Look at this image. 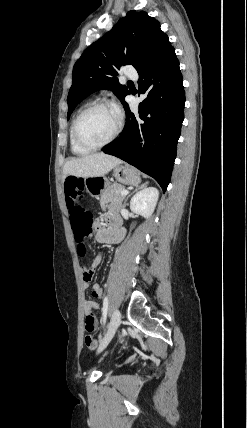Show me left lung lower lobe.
Wrapping results in <instances>:
<instances>
[{
    "instance_id": "1",
    "label": "left lung lower lobe",
    "mask_w": 247,
    "mask_h": 428,
    "mask_svg": "<svg viewBox=\"0 0 247 428\" xmlns=\"http://www.w3.org/2000/svg\"><path fill=\"white\" fill-rule=\"evenodd\" d=\"M138 73V93L147 97L140 103L138 115L124 103L125 129L102 151L150 175L165 192L184 119L185 93L175 49L161 53Z\"/></svg>"
}]
</instances>
